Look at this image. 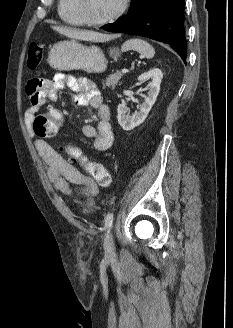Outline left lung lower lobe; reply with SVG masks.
Wrapping results in <instances>:
<instances>
[{
	"mask_svg": "<svg viewBox=\"0 0 233 328\" xmlns=\"http://www.w3.org/2000/svg\"><path fill=\"white\" fill-rule=\"evenodd\" d=\"M184 0H132L127 15L102 28L167 43L186 59Z\"/></svg>",
	"mask_w": 233,
	"mask_h": 328,
	"instance_id": "1",
	"label": "left lung lower lobe"
}]
</instances>
